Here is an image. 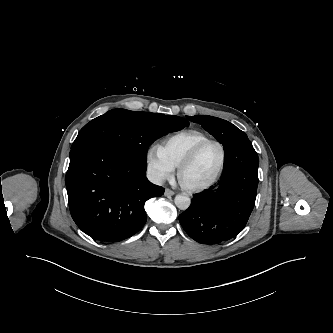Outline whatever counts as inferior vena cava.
Instances as JSON below:
<instances>
[{"label":"inferior vena cava","instance_id":"1","mask_svg":"<svg viewBox=\"0 0 333 333\" xmlns=\"http://www.w3.org/2000/svg\"><path fill=\"white\" fill-rule=\"evenodd\" d=\"M147 178L150 182L156 185H163L164 178L155 170L148 169Z\"/></svg>","mask_w":333,"mask_h":333}]
</instances>
